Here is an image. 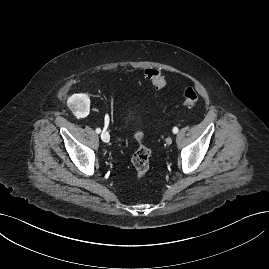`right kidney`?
<instances>
[{
	"label": "right kidney",
	"instance_id": "1",
	"mask_svg": "<svg viewBox=\"0 0 269 269\" xmlns=\"http://www.w3.org/2000/svg\"><path fill=\"white\" fill-rule=\"evenodd\" d=\"M68 106L78 115L87 116L90 108V98L88 94H73L68 98Z\"/></svg>",
	"mask_w": 269,
	"mask_h": 269
}]
</instances>
